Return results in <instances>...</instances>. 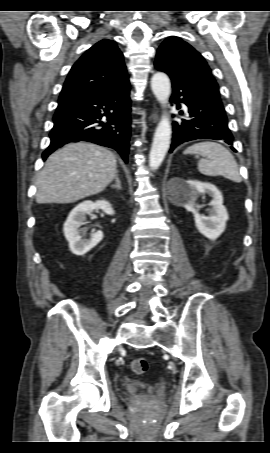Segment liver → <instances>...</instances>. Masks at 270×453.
<instances>
[{"mask_svg": "<svg viewBox=\"0 0 270 453\" xmlns=\"http://www.w3.org/2000/svg\"><path fill=\"white\" fill-rule=\"evenodd\" d=\"M115 155L101 146L79 142L48 157L36 180L38 204H67L103 191L114 179Z\"/></svg>", "mask_w": 270, "mask_h": 453, "instance_id": "6515ba94", "label": "liver"}]
</instances>
